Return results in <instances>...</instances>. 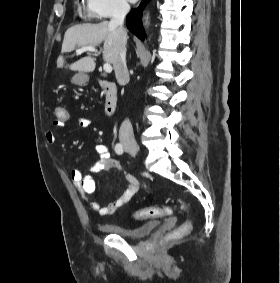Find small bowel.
<instances>
[{"label": "small bowel", "instance_id": "1", "mask_svg": "<svg viewBox=\"0 0 280 283\" xmlns=\"http://www.w3.org/2000/svg\"><path fill=\"white\" fill-rule=\"evenodd\" d=\"M77 122L80 128H86L90 124L89 119L83 116L78 117ZM65 123L66 122H56L55 119L54 127L58 129L63 128ZM45 139L48 144L53 145L57 139V133L55 129L47 130L45 133ZM95 151L98 155V158L96 162L90 166L89 173L85 174L81 169L74 168L70 171V179L80 191L84 200L88 202L89 207L99 216L105 217L113 214L133 198V196L139 190V182L135 176L129 173H124V177L127 182V188L120 197L105 206H102L98 201L92 199V195L95 191V181L92 174L99 173L101 171L113 170L123 172L121 165L116 160L111 159L109 149L106 144H97L95 146Z\"/></svg>", "mask_w": 280, "mask_h": 283}]
</instances>
